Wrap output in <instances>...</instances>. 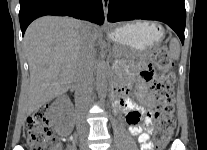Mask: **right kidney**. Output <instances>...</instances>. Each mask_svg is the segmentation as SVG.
<instances>
[{
    "instance_id": "1",
    "label": "right kidney",
    "mask_w": 207,
    "mask_h": 150,
    "mask_svg": "<svg viewBox=\"0 0 207 150\" xmlns=\"http://www.w3.org/2000/svg\"><path fill=\"white\" fill-rule=\"evenodd\" d=\"M69 105V99L66 96L58 97L51 105L50 116L53 123H57L65 110Z\"/></svg>"
}]
</instances>
